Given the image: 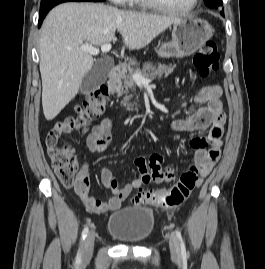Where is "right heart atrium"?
Instances as JSON below:
<instances>
[{
  "label": "right heart atrium",
  "mask_w": 265,
  "mask_h": 269,
  "mask_svg": "<svg viewBox=\"0 0 265 269\" xmlns=\"http://www.w3.org/2000/svg\"><path fill=\"white\" fill-rule=\"evenodd\" d=\"M115 5H125L130 2V0H110Z\"/></svg>",
  "instance_id": "1"
}]
</instances>
